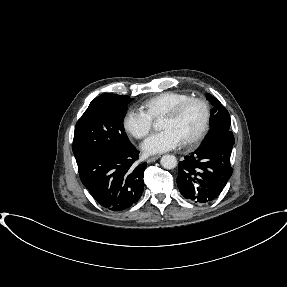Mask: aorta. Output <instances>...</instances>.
<instances>
[{
	"mask_svg": "<svg viewBox=\"0 0 287 287\" xmlns=\"http://www.w3.org/2000/svg\"><path fill=\"white\" fill-rule=\"evenodd\" d=\"M160 164L165 169H173L177 166V159L174 155H163Z\"/></svg>",
	"mask_w": 287,
	"mask_h": 287,
	"instance_id": "762f6f07",
	"label": "aorta"
}]
</instances>
